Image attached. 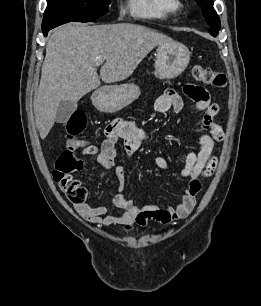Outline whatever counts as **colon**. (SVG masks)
Wrapping results in <instances>:
<instances>
[{
    "label": "colon",
    "instance_id": "obj_1",
    "mask_svg": "<svg viewBox=\"0 0 261 306\" xmlns=\"http://www.w3.org/2000/svg\"><path fill=\"white\" fill-rule=\"evenodd\" d=\"M192 74L197 81L214 88H222L226 84L225 74L200 64L193 67ZM86 123V116L81 111H76L69 117L66 122L67 148L60 154L53 171L54 180L74 204L85 200V191L72 174L82 168V161L78 158L76 149L79 148V136L84 132Z\"/></svg>",
    "mask_w": 261,
    "mask_h": 306
}]
</instances>
